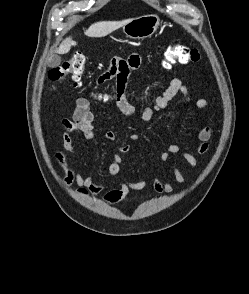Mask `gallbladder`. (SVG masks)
Wrapping results in <instances>:
<instances>
[{"label": "gallbladder", "instance_id": "1", "mask_svg": "<svg viewBox=\"0 0 249 294\" xmlns=\"http://www.w3.org/2000/svg\"><path fill=\"white\" fill-rule=\"evenodd\" d=\"M60 63H61V58H60V56H59V55H54V56L50 59V61H49V63H48V66H49L50 68H55V67L59 66Z\"/></svg>", "mask_w": 249, "mask_h": 294}]
</instances>
